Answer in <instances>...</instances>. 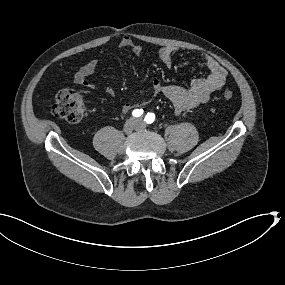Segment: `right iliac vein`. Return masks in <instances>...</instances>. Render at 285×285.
<instances>
[{
	"label": "right iliac vein",
	"instance_id": "obj_1",
	"mask_svg": "<svg viewBox=\"0 0 285 285\" xmlns=\"http://www.w3.org/2000/svg\"><path fill=\"white\" fill-rule=\"evenodd\" d=\"M137 125L133 120H129L124 124L123 131L127 134L132 133L136 129Z\"/></svg>",
	"mask_w": 285,
	"mask_h": 285
}]
</instances>
